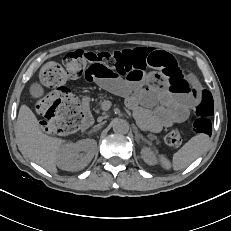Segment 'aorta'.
Instances as JSON below:
<instances>
[{"label": "aorta", "mask_w": 231, "mask_h": 231, "mask_svg": "<svg viewBox=\"0 0 231 231\" xmlns=\"http://www.w3.org/2000/svg\"><path fill=\"white\" fill-rule=\"evenodd\" d=\"M113 131L117 134H126L129 131V124L126 120L115 119L112 123Z\"/></svg>", "instance_id": "762f6f07"}]
</instances>
